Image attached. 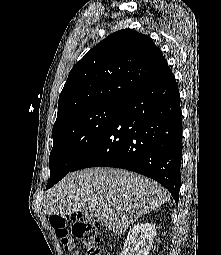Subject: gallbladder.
<instances>
[{
	"instance_id": "bac80fb5",
	"label": "gallbladder",
	"mask_w": 221,
	"mask_h": 255,
	"mask_svg": "<svg viewBox=\"0 0 221 255\" xmlns=\"http://www.w3.org/2000/svg\"><path fill=\"white\" fill-rule=\"evenodd\" d=\"M83 213L85 214V216H89V217H92L95 215L94 212L91 210H85Z\"/></svg>"
}]
</instances>
